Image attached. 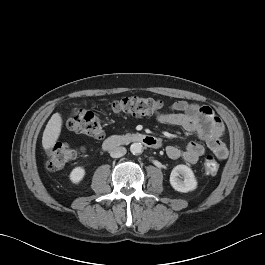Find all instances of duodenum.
Here are the masks:
<instances>
[{
  "label": "duodenum",
  "mask_w": 265,
  "mask_h": 265,
  "mask_svg": "<svg viewBox=\"0 0 265 265\" xmlns=\"http://www.w3.org/2000/svg\"><path fill=\"white\" fill-rule=\"evenodd\" d=\"M140 143L149 148L157 149L161 146V141L155 136L133 133L128 135H113L106 138L103 142L104 150H113L119 146Z\"/></svg>",
  "instance_id": "obj_1"
}]
</instances>
